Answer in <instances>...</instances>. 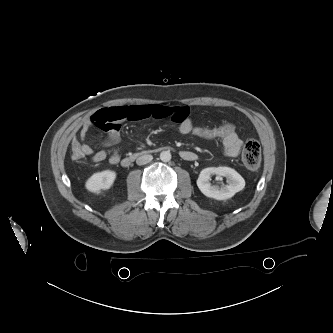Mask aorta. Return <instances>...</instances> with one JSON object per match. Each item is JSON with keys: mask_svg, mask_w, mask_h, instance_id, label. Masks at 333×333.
<instances>
[{"mask_svg": "<svg viewBox=\"0 0 333 333\" xmlns=\"http://www.w3.org/2000/svg\"><path fill=\"white\" fill-rule=\"evenodd\" d=\"M160 159L163 162H169L171 160V153H170V151H162L160 153Z\"/></svg>", "mask_w": 333, "mask_h": 333, "instance_id": "obj_1", "label": "aorta"}]
</instances>
